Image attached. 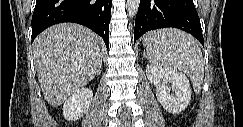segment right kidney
Returning <instances> with one entry per match:
<instances>
[{"label":"right kidney","instance_id":"right-kidney-1","mask_svg":"<svg viewBox=\"0 0 243 127\" xmlns=\"http://www.w3.org/2000/svg\"><path fill=\"white\" fill-rule=\"evenodd\" d=\"M93 92L81 88L74 92L63 104V116L68 121L79 120L87 113L91 105Z\"/></svg>","mask_w":243,"mask_h":127}]
</instances>
